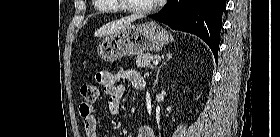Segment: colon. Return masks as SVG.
Wrapping results in <instances>:
<instances>
[{
	"label": "colon",
	"instance_id": "1",
	"mask_svg": "<svg viewBox=\"0 0 280 137\" xmlns=\"http://www.w3.org/2000/svg\"><path fill=\"white\" fill-rule=\"evenodd\" d=\"M80 94L88 102H93L97 99L99 91L94 84H83L80 88Z\"/></svg>",
	"mask_w": 280,
	"mask_h": 137
}]
</instances>
